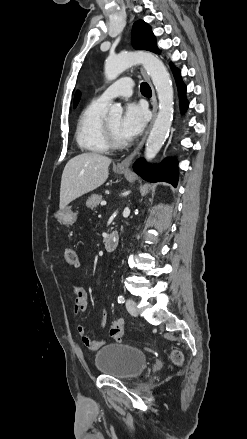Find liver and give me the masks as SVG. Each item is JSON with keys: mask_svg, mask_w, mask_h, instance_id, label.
<instances>
[{"mask_svg": "<svg viewBox=\"0 0 247 439\" xmlns=\"http://www.w3.org/2000/svg\"><path fill=\"white\" fill-rule=\"evenodd\" d=\"M112 160L97 153H82L70 159L62 173L60 209L101 186L108 178Z\"/></svg>", "mask_w": 247, "mask_h": 439, "instance_id": "6515ba94", "label": "liver"}]
</instances>
